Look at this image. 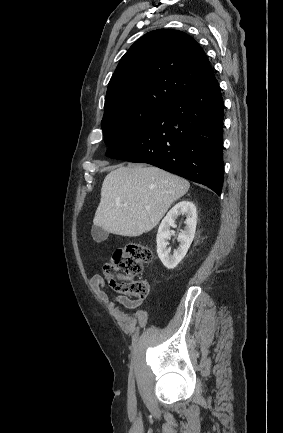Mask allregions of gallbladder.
Returning a JSON list of instances; mask_svg holds the SVG:
<instances>
[{"mask_svg": "<svg viewBox=\"0 0 283 433\" xmlns=\"http://www.w3.org/2000/svg\"><path fill=\"white\" fill-rule=\"evenodd\" d=\"M91 233L96 243H101V241H106L109 235L108 231H103L101 227H95V225H93Z\"/></svg>", "mask_w": 283, "mask_h": 433, "instance_id": "1", "label": "gallbladder"}]
</instances>
